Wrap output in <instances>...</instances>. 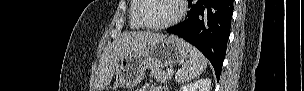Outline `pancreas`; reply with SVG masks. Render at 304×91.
Instances as JSON below:
<instances>
[{
  "label": "pancreas",
  "instance_id": "pancreas-1",
  "mask_svg": "<svg viewBox=\"0 0 304 91\" xmlns=\"http://www.w3.org/2000/svg\"><path fill=\"white\" fill-rule=\"evenodd\" d=\"M150 75L153 79L161 83H166L172 78V74L153 67L150 68Z\"/></svg>",
  "mask_w": 304,
  "mask_h": 91
}]
</instances>
